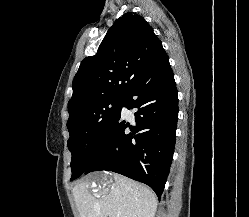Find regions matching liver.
<instances>
[{
	"label": "liver",
	"instance_id": "6515ba94",
	"mask_svg": "<svg viewBox=\"0 0 249 217\" xmlns=\"http://www.w3.org/2000/svg\"><path fill=\"white\" fill-rule=\"evenodd\" d=\"M73 196L80 217H154L157 209L154 192L116 173L88 176L74 186Z\"/></svg>",
	"mask_w": 249,
	"mask_h": 217
}]
</instances>
